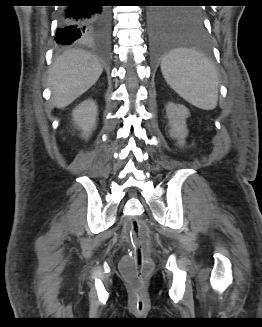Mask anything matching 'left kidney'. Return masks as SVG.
<instances>
[{"instance_id": "obj_1", "label": "left kidney", "mask_w": 262, "mask_h": 327, "mask_svg": "<svg viewBox=\"0 0 262 327\" xmlns=\"http://www.w3.org/2000/svg\"><path fill=\"white\" fill-rule=\"evenodd\" d=\"M166 113L169 119L170 136L178 140V144L183 146L188 131L186 129L185 118L189 116V111L184 105L169 103L166 106Z\"/></svg>"}]
</instances>
